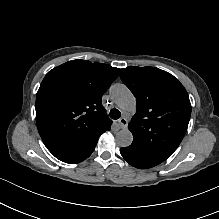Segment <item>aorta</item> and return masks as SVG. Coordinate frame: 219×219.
I'll return each mask as SVG.
<instances>
[{
    "label": "aorta",
    "instance_id": "aorta-1",
    "mask_svg": "<svg viewBox=\"0 0 219 219\" xmlns=\"http://www.w3.org/2000/svg\"><path fill=\"white\" fill-rule=\"evenodd\" d=\"M110 94L113 97L115 103L122 110L132 111L136 108V100L130 90L120 83H116L110 87ZM133 135L131 131L124 128L117 132L116 143L121 147H128L132 144Z\"/></svg>",
    "mask_w": 219,
    "mask_h": 219
}]
</instances>
